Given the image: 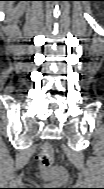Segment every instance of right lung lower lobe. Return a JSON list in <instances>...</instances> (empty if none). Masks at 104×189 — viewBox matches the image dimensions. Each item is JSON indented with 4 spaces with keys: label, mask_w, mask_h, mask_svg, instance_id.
I'll return each instance as SVG.
<instances>
[{
    "label": "right lung lower lobe",
    "mask_w": 104,
    "mask_h": 189,
    "mask_svg": "<svg viewBox=\"0 0 104 189\" xmlns=\"http://www.w3.org/2000/svg\"><path fill=\"white\" fill-rule=\"evenodd\" d=\"M6 1H16V0H6Z\"/></svg>",
    "instance_id": "obj_1"
}]
</instances>
